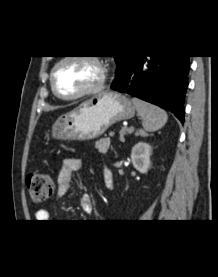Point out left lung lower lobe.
Wrapping results in <instances>:
<instances>
[{"label":"left lung lower lobe","instance_id":"1","mask_svg":"<svg viewBox=\"0 0 218 277\" xmlns=\"http://www.w3.org/2000/svg\"><path fill=\"white\" fill-rule=\"evenodd\" d=\"M189 56H132L111 89L131 94L168 111L184 122Z\"/></svg>","mask_w":218,"mask_h":277}]
</instances>
